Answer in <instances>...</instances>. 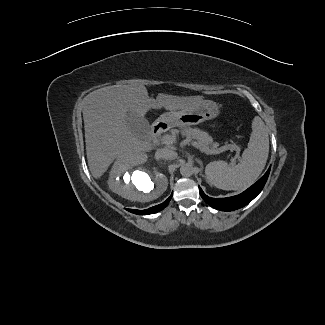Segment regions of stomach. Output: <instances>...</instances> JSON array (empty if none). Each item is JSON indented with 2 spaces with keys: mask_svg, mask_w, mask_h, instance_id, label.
Instances as JSON below:
<instances>
[{
  "mask_svg": "<svg viewBox=\"0 0 325 325\" xmlns=\"http://www.w3.org/2000/svg\"><path fill=\"white\" fill-rule=\"evenodd\" d=\"M219 105L211 100H204L198 105L178 112L164 113L159 121L170 126L187 128L190 125L199 124L205 120H210L219 115Z\"/></svg>",
  "mask_w": 325,
  "mask_h": 325,
  "instance_id": "stomach-1",
  "label": "stomach"
}]
</instances>
